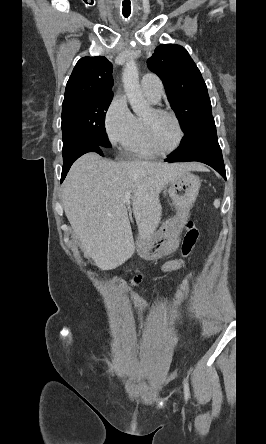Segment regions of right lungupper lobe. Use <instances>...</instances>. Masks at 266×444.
I'll list each match as a JSON object with an SVG mask.
<instances>
[{"instance_id": "right-lung-upper-lobe-1", "label": "right lung upper lobe", "mask_w": 266, "mask_h": 444, "mask_svg": "<svg viewBox=\"0 0 266 444\" xmlns=\"http://www.w3.org/2000/svg\"><path fill=\"white\" fill-rule=\"evenodd\" d=\"M112 64L105 57H83L67 82L63 103L112 93Z\"/></svg>"}]
</instances>
